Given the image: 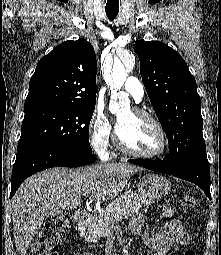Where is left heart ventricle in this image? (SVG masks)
Segmentation results:
<instances>
[{
    "label": "left heart ventricle",
    "instance_id": "b2bd125f",
    "mask_svg": "<svg viewBox=\"0 0 221 255\" xmlns=\"http://www.w3.org/2000/svg\"><path fill=\"white\" fill-rule=\"evenodd\" d=\"M117 131L131 149L153 153L160 147V136L155 126L132 111L123 112L118 118Z\"/></svg>",
    "mask_w": 221,
    "mask_h": 255
}]
</instances>
